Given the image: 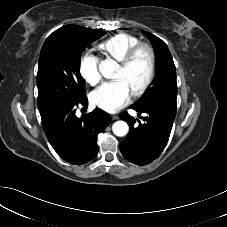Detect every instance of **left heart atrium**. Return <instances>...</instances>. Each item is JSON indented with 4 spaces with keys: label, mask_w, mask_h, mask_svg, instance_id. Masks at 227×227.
Wrapping results in <instances>:
<instances>
[{
    "label": "left heart atrium",
    "mask_w": 227,
    "mask_h": 227,
    "mask_svg": "<svg viewBox=\"0 0 227 227\" xmlns=\"http://www.w3.org/2000/svg\"><path fill=\"white\" fill-rule=\"evenodd\" d=\"M131 91L120 79L106 82L91 93V101L99 108L113 113L124 107L130 99Z\"/></svg>",
    "instance_id": "obj_1"
}]
</instances>
